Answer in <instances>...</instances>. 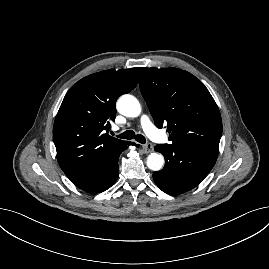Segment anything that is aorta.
Instances as JSON below:
<instances>
[{"label": "aorta", "mask_w": 269, "mask_h": 269, "mask_svg": "<svg viewBox=\"0 0 269 269\" xmlns=\"http://www.w3.org/2000/svg\"><path fill=\"white\" fill-rule=\"evenodd\" d=\"M117 110L124 116L137 117L141 113V106L134 96L126 94L118 99ZM146 163L149 169L160 171L164 165V157L160 153H152L147 157Z\"/></svg>", "instance_id": "obj_1"}]
</instances>
